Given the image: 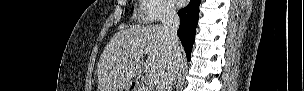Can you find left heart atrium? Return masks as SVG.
Segmentation results:
<instances>
[{
    "mask_svg": "<svg viewBox=\"0 0 304 91\" xmlns=\"http://www.w3.org/2000/svg\"><path fill=\"white\" fill-rule=\"evenodd\" d=\"M177 4H178L179 6H182V3H181L180 1H177Z\"/></svg>",
    "mask_w": 304,
    "mask_h": 91,
    "instance_id": "obj_1",
    "label": "left heart atrium"
}]
</instances>
